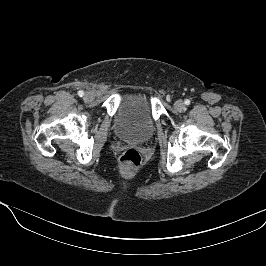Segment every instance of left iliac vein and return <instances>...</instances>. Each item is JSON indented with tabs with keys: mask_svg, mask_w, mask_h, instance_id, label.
<instances>
[{
	"mask_svg": "<svg viewBox=\"0 0 266 266\" xmlns=\"http://www.w3.org/2000/svg\"><path fill=\"white\" fill-rule=\"evenodd\" d=\"M174 108H175L177 111L181 112V111L184 110V108H185V104H184V102H183L182 100H177V101L175 102V104H174Z\"/></svg>",
	"mask_w": 266,
	"mask_h": 266,
	"instance_id": "left-iliac-vein-1",
	"label": "left iliac vein"
}]
</instances>
